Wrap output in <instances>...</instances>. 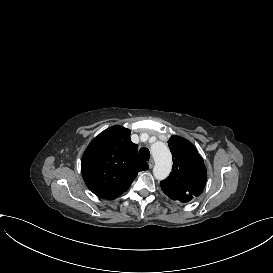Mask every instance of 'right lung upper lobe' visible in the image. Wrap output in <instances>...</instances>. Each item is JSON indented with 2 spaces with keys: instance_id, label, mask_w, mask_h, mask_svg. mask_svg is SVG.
Here are the masks:
<instances>
[{
  "instance_id": "cb5924a9",
  "label": "right lung upper lobe",
  "mask_w": 273,
  "mask_h": 273,
  "mask_svg": "<svg viewBox=\"0 0 273 273\" xmlns=\"http://www.w3.org/2000/svg\"><path fill=\"white\" fill-rule=\"evenodd\" d=\"M148 164L138 157L130 130L112 126L95 137L85 150L81 171L87 187L98 197L114 199L125 192Z\"/></svg>"
}]
</instances>
